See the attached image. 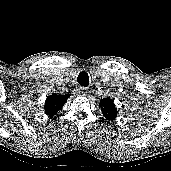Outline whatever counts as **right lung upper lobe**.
<instances>
[{
  "label": "right lung upper lobe",
  "mask_w": 171,
  "mask_h": 171,
  "mask_svg": "<svg viewBox=\"0 0 171 171\" xmlns=\"http://www.w3.org/2000/svg\"><path fill=\"white\" fill-rule=\"evenodd\" d=\"M69 97V94L57 95L53 93L50 95L45 102V113L50 117H53L62 108Z\"/></svg>",
  "instance_id": "1"
}]
</instances>
